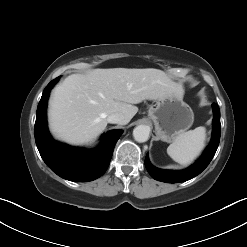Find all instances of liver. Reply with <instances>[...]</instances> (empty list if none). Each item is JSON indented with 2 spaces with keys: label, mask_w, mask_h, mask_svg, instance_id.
I'll return each instance as SVG.
<instances>
[{
  "label": "liver",
  "mask_w": 247,
  "mask_h": 247,
  "mask_svg": "<svg viewBox=\"0 0 247 247\" xmlns=\"http://www.w3.org/2000/svg\"><path fill=\"white\" fill-rule=\"evenodd\" d=\"M181 90L182 86L165 72L153 68L93 69L72 74L53 91L50 129L67 143L87 144L103 132L109 115L121 113L128 123L138 112L134 104Z\"/></svg>",
  "instance_id": "6515ba94"
}]
</instances>
